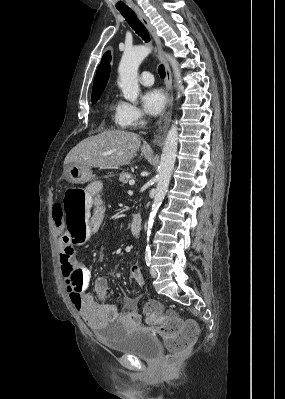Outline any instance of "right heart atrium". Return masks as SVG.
<instances>
[{"instance_id":"right-heart-atrium-1","label":"right heart atrium","mask_w":285,"mask_h":399,"mask_svg":"<svg viewBox=\"0 0 285 399\" xmlns=\"http://www.w3.org/2000/svg\"><path fill=\"white\" fill-rule=\"evenodd\" d=\"M119 117L122 125L132 127L143 119V113L137 106L128 102H121Z\"/></svg>"}]
</instances>
